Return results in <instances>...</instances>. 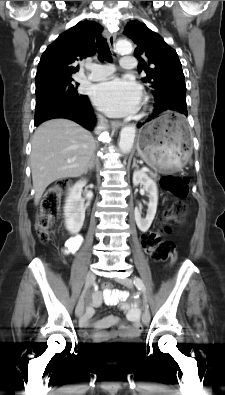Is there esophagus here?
<instances>
[{
	"label": "esophagus",
	"instance_id": "obj_1",
	"mask_svg": "<svg viewBox=\"0 0 225 395\" xmlns=\"http://www.w3.org/2000/svg\"><path fill=\"white\" fill-rule=\"evenodd\" d=\"M104 36L107 38L108 44L110 48L113 50L116 40V35L114 33H110L107 29L104 30ZM111 125L113 128H119L124 125L121 121H112Z\"/></svg>",
	"mask_w": 225,
	"mask_h": 395
}]
</instances>
